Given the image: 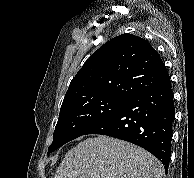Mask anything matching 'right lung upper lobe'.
<instances>
[{"mask_svg": "<svg viewBox=\"0 0 194 178\" xmlns=\"http://www.w3.org/2000/svg\"><path fill=\"white\" fill-rule=\"evenodd\" d=\"M169 81L165 64L147 40L123 34L89 57L72 79L62 106L91 97L128 100Z\"/></svg>", "mask_w": 194, "mask_h": 178, "instance_id": "cb5924a9", "label": "right lung upper lobe"}]
</instances>
